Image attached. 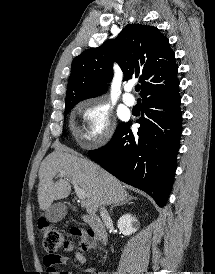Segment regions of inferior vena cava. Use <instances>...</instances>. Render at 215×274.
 I'll list each match as a JSON object with an SVG mask.
<instances>
[{
  "label": "inferior vena cava",
  "mask_w": 215,
  "mask_h": 274,
  "mask_svg": "<svg viewBox=\"0 0 215 274\" xmlns=\"http://www.w3.org/2000/svg\"><path fill=\"white\" fill-rule=\"evenodd\" d=\"M101 216L102 217H107L108 216V213H107V210L105 209V207L101 206Z\"/></svg>",
  "instance_id": "inferior-vena-cava-1"
}]
</instances>
